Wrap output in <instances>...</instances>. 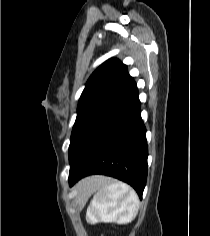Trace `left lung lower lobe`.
Here are the masks:
<instances>
[{
  "instance_id": "0a47b994",
  "label": "left lung lower lobe",
  "mask_w": 210,
  "mask_h": 236,
  "mask_svg": "<svg viewBox=\"0 0 210 236\" xmlns=\"http://www.w3.org/2000/svg\"><path fill=\"white\" fill-rule=\"evenodd\" d=\"M146 129L136 83L125 89L78 135L69 149V184L103 174L130 184L142 198L147 179Z\"/></svg>"
}]
</instances>
